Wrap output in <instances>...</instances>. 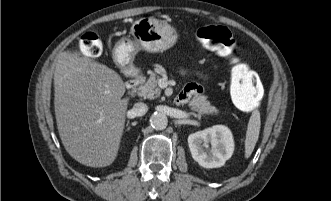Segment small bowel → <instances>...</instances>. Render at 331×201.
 <instances>
[{
  "instance_id": "c3829d8e",
  "label": "small bowel",
  "mask_w": 331,
  "mask_h": 201,
  "mask_svg": "<svg viewBox=\"0 0 331 201\" xmlns=\"http://www.w3.org/2000/svg\"><path fill=\"white\" fill-rule=\"evenodd\" d=\"M202 92L201 86L196 83L188 84L177 96L178 103H185L194 96L199 95Z\"/></svg>"
}]
</instances>
